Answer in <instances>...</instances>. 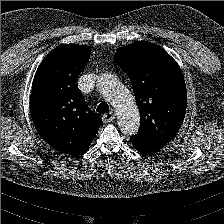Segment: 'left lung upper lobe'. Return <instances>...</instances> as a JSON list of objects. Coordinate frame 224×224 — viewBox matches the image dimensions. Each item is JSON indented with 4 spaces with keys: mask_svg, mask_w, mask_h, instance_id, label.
<instances>
[{
    "mask_svg": "<svg viewBox=\"0 0 224 224\" xmlns=\"http://www.w3.org/2000/svg\"><path fill=\"white\" fill-rule=\"evenodd\" d=\"M115 61L132 81L140 132L168 143L181 127L187 90L177 62L161 47L140 41L119 49Z\"/></svg>",
    "mask_w": 224,
    "mask_h": 224,
    "instance_id": "left-lung-upper-lobe-1",
    "label": "left lung upper lobe"
}]
</instances>
